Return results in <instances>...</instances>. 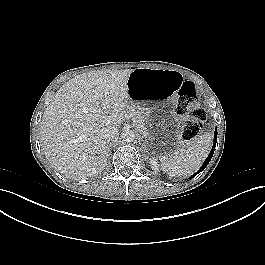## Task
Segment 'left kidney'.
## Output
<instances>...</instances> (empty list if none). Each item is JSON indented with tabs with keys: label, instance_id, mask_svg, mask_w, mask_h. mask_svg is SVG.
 <instances>
[{
	"label": "left kidney",
	"instance_id": "1",
	"mask_svg": "<svg viewBox=\"0 0 265 265\" xmlns=\"http://www.w3.org/2000/svg\"><path fill=\"white\" fill-rule=\"evenodd\" d=\"M150 165H151V168L154 171H158L159 170V165H158V162H157L156 159H154V158L150 159Z\"/></svg>",
	"mask_w": 265,
	"mask_h": 265
}]
</instances>
